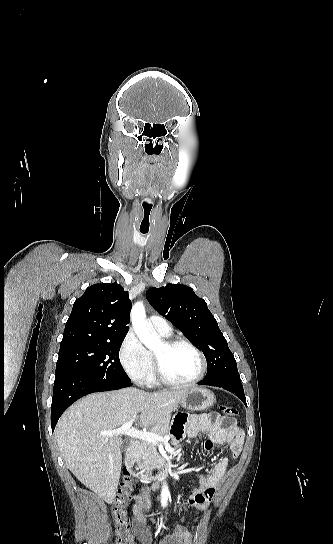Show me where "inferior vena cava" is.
Returning <instances> with one entry per match:
<instances>
[{"label":"inferior vena cava","mask_w":333,"mask_h":544,"mask_svg":"<svg viewBox=\"0 0 333 544\" xmlns=\"http://www.w3.org/2000/svg\"><path fill=\"white\" fill-rule=\"evenodd\" d=\"M145 506L147 509H150L151 507V500L149 494H145Z\"/></svg>","instance_id":"602c4592"}]
</instances>
